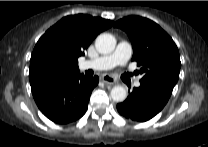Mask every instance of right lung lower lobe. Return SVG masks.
<instances>
[{
	"mask_svg": "<svg viewBox=\"0 0 208 147\" xmlns=\"http://www.w3.org/2000/svg\"><path fill=\"white\" fill-rule=\"evenodd\" d=\"M99 78L77 74L67 80L32 90L41 112L51 121L67 124L84 115L92 90Z\"/></svg>",
	"mask_w": 208,
	"mask_h": 147,
	"instance_id": "1",
	"label": "right lung lower lobe"
}]
</instances>
